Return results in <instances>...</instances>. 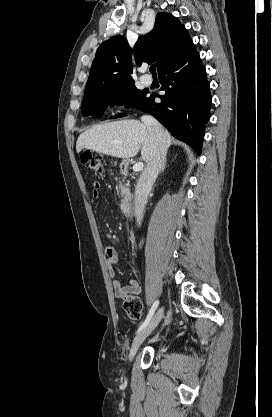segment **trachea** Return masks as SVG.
<instances>
[{
	"mask_svg": "<svg viewBox=\"0 0 272 417\" xmlns=\"http://www.w3.org/2000/svg\"><path fill=\"white\" fill-rule=\"evenodd\" d=\"M149 71L151 72L152 75H156V67L155 64H153L150 68Z\"/></svg>",
	"mask_w": 272,
	"mask_h": 417,
	"instance_id": "1",
	"label": "trachea"
}]
</instances>
